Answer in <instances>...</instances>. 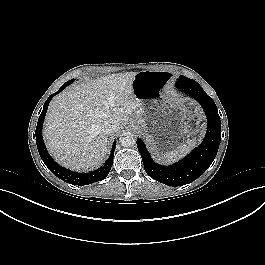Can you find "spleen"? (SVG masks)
Wrapping results in <instances>:
<instances>
[{"label":"spleen","instance_id":"1","mask_svg":"<svg viewBox=\"0 0 265 265\" xmlns=\"http://www.w3.org/2000/svg\"><path fill=\"white\" fill-rule=\"evenodd\" d=\"M196 146L195 140H188L186 143L181 144L176 149L165 153L161 159L165 163H170L182 158L185 154H187L192 148Z\"/></svg>","mask_w":265,"mask_h":265}]
</instances>
